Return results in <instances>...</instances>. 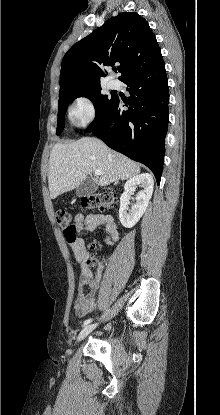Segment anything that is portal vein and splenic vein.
I'll return each mask as SVG.
<instances>
[{"mask_svg": "<svg viewBox=\"0 0 220 415\" xmlns=\"http://www.w3.org/2000/svg\"><path fill=\"white\" fill-rule=\"evenodd\" d=\"M101 174H102V172L100 170L95 171V175L100 176Z\"/></svg>", "mask_w": 220, "mask_h": 415, "instance_id": "1", "label": "portal vein and splenic vein"}]
</instances>
